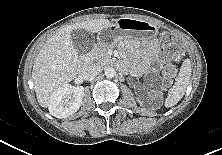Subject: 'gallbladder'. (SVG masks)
Returning a JSON list of instances; mask_svg holds the SVG:
<instances>
[{
    "label": "gallbladder",
    "instance_id": "obj_1",
    "mask_svg": "<svg viewBox=\"0 0 222 155\" xmlns=\"http://www.w3.org/2000/svg\"><path fill=\"white\" fill-rule=\"evenodd\" d=\"M70 39L74 49L82 54L89 52L94 45L92 34L84 29L73 30Z\"/></svg>",
    "mask_w": 222,
    "mask_h": 155
}]
</instances>
